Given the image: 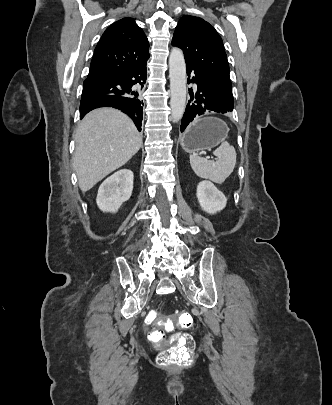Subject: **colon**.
Returning a JSON list of instances; mask_svg holds the SVG:
<instances>
[{
    "label": "colon",
    "instance_id": "colon-1",
    "mask_svg": "<svg viewBox=\"0 0 332 405\" xmlns=\"http://www.w3.org/2000/svg\"><path fill=\"white\" fill-rule=\"evenodd\" d=\"M147 324L153 327L165 328L168 331L173 330L174 325H179L183 328H191L193 326V318L187 312H178L170 319H160L152 313L147 317ZM151 338L154 342H161L165 339V334L162 330H156L152 333ZM174 345L164 350L158 359V362L163 365L169 364H189L192 362L195 351V342L191 335L187 333H175L172 336Z\"/></svg>",
    "mask_w": 332,
    "mask_h": 405
}]
</instances>
